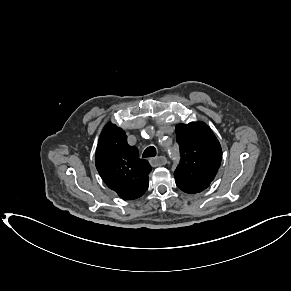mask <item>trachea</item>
<instances>
[{
  "instance_id": "obj_1",
  "label": "trachea",
  "mask_w": 291,
  "mask_h": 291,
  "mask_svg": "<svg viewBox=\"0 0 291 291\" xmlns=\"http://www.w3.org/2000/svg\"><path fill=\"white\" fill-rule=\"evenodd\" d=\"M144 158L156 156V149L153 146L146 148L142 155Z\"/></svg>"
}]
</instances>
